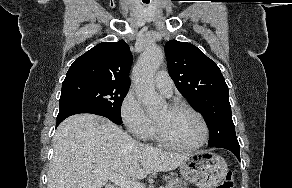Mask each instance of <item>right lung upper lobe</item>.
<instances>
[{"instance_id":"right-lung-upper-lobe-1","label":"right lung upper lobe","mask_w":292,"mask_h":188,"mask_svg":"<svg viewBox=\"0 0 292 188\" xmlns=\"http://www.w3.org/2000/svg\"><path fill=\"white\" fill-rule=\"evenodd\" d=\"M132 54L125 41L102 42L77 58L65 80L94 79L121 86H130Z\"/></svg>"}]
</instances>
